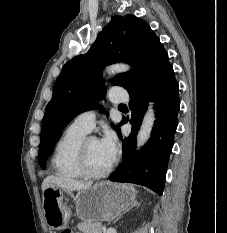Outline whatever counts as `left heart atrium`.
I'll return each mask as SVG.
<instances>
[{
	"label": "left heart atrium",
	"mask_w": 227,
	"mask_h": 233,
	"mask_svg": "<svg viewBox=\"0 0 227 233\" xmlns=\"http://www.w3.org/2000/svg\"><path fill=\"white\" fill-rule=\"evenodd\" d=\"M100 147L113 160L117 154L118 144L115 133L105 129L102 138L99 140Z\"/></svg>",
	"instance_id": "obj_1"
}]
</instances>
